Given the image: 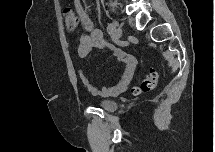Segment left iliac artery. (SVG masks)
<instances>
[{
    "mask_svg": "<svg viewBox=\"0 0 215 152\" xmlns=\"http://www.w3.org/2000/svg\"><path fill=\"white\" fill-rule=\"evenodd\" d=\"M115 27H116V25L114 23H109L108 24L107 32H108L109 35L114 34Z\"/></svg>",
    "mask_w": 215,
    "mask_h": 152,
    "instance_id": "left-iliac-artery-1",
    "label": "left iliac artery"
}]
</instances>
